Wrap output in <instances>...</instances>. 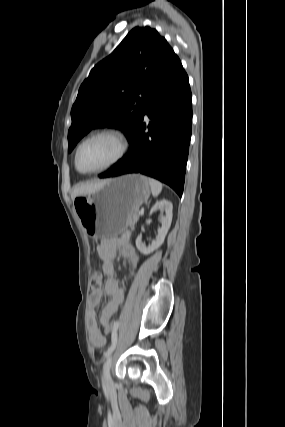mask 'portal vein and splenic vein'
<instances>
[{
  "mask_svg": "<svg viewBox=\"0 0 285 427\" xmlns=\"http://www.w3.org/2000/svg\"><path fill=\"white\" fill-rule=\"evenodd\" d=\"M138 214H139V215H143V214H144V210H140V211L138 212Z\"/></svg>",
  "mask_w": 285,
  "mask_h": 427,
  "instance_id": "portal-vein-and-splenic-vein-1",
  "label": "portal vein and splenic vein"
}]
</instances>
